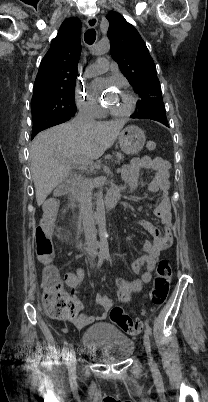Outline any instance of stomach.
I'll return each instance as SVG.
<instances>
[{"label":"stomach","mask_w":208,"mask_h":402,"mask_svg":"<svg viewBox=\"0 0 208 402\" xmlns=\"http://www.w3.org/2000/svg\"><path fill=\"white\" fill-rule=\"evenodd\" d=\"M119 144L124 154H138L145 144V134L138 126H127L119 134Z\"/></svg>","instance_id":"0dacf381"}]
</instances>
